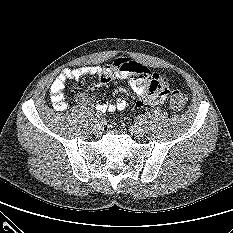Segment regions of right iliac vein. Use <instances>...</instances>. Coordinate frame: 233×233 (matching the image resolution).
Listing matches in <instances>:
<instances>
[{
  "label": "right iliac vein",
  "mask_w": 233,
  "mask_h": 233,
  "mask_svg": "<svg viewBox=\"0 0 233 233\" xmlns=\"http://www.w3.org/2000/svg\"><path fill=\"white\" fill-rule=\"evenodd\" d=\"M104 130V123L102 120L95 121V131L101 133Z\"/></svg>",
  "instance_id": "right-iliac-vein-1"
}]
</instances>
